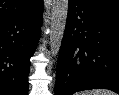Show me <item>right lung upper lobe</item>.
<instances>
[{
    "label": "right lung upper lobe",
    "mask_w": 119,
    "mask_h": 95,
    "mask_svg": "<svg viewBox=\"0 0 119 95\" xmlns=\"http://www.w3.org/2000/svg\"><path fill=\"white\" fill-rule=\"evenodd\" d=\"M40 0H0V23L33 8Z\"/></svg>",
    "instance_id": "right-lung-upper-lobe-1"
}]
</instances>
